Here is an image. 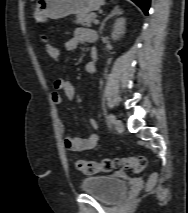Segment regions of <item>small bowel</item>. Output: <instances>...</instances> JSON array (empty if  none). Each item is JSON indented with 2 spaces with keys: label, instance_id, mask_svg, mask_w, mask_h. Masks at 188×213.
Returning a JSON list of instances; mask_svg holds the SVG:
<instances>
[{
  "label": "small bowel",
  "instance_id": "c3829d8e",
  "mask_svg": "<svg viewBox=\"0 0 188 213\" xmlns=\"http://www.w3.org/2000/svg\"><path fill=\"white\" fill-rule=\"evenodd\" d=\"M97 40V33L85 27H79L74 31L73 36L68 39L65 43V49L67 51H74L80 44H93ZM93 57L95 58V51H93ZM86 71L88 74L96 75L98 68L95 60L89 62L86 65ZM72 100L75 98L76 91L74 85L64 79H58L53 83V91L51 92V101L55 105H61L62 95ZM89 125L92 129H96L98 124L95 119L89 120ZM64 134L63 142L64 146L68 151L73 152H84L96 150L99 147V137L97 134L92 133L86 137L71 136L63 123L60 124Z\"/></svg>",
  "mask_w": 188,
  "mask_h": 213
}]
</instances>
